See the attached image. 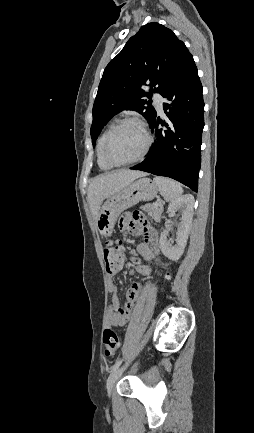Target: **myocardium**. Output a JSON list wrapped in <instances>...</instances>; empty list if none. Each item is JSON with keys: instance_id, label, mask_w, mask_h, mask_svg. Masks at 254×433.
Listing matches in <instances>:
<instances>
[{"instance_id": "obj_1", "label": "myocardium", "mask_w": 254, "mask_h": 433, "mask_svg": "<svg viewBox=\"0 0 254 433\" xmlns=\"http://www.w3.org/2000/svg\"><path fill=\"white\" fill-rule=\"evenodd\" d=\"M126 124L137 125L141 129V131L143 132L145 139H146V142H145L144 148L141 151V153L137 157H135L134 159H131V160L126 161V162H115L109 158V156L107 154V147H108L109 142H110L111 138L113 137V135L122 126H124ZM152 142H153L152 136H151L148 128L146 127V125L141 120H139L137 118H125V119L120 120L117 124H115V126L107 134V136L103 142V145H102L101 155H102L103 160L112 167L128 166V165L137 163V162L141 161L142 159H144V157L147 155L148 151L151 148Z\"/></svg>"}]
</instances>
